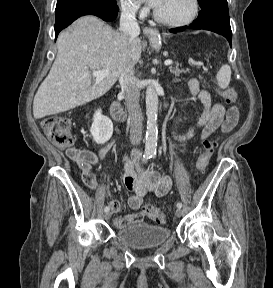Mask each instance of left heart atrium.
<instances>
[{"label":"left heart atrium","instance_id":"39dd6f15","mask_svg":"<svg viewBox=\"0 0 273 288\" xmlns=\"http://www.w3.org/2000/svg\"><path fill=\"white\" fill-rule=\"evenodd\" d=\"M159 0H147V2L153 6V7H156L157 3H158Z\"/></svg>","mask_w":273,"mask_h":288}]
</instances>
